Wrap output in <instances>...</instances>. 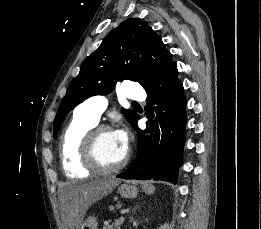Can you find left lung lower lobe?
<instances>
[{
	"mask_svg": "<svg viewBox=\"0 0 261 229\" xmlns=\"http://www.w3.org/2000/svg\"><path fill=\"white\" fill-rule=\"evenodd\" d=\"M145 89L152 97L151 105H157L146 110L147 118H154V109L156 119L149 121L147 129L142 131L137 129L138 115L135 117L132 127L137 130L138 153L134 162L116 177L172 182L182 166L187 122L184 89L178 79L177 65L161 73Z\"/></svg>",
	"mask_w": 261,
	"mask_h": 229,
	"instance_id": "0a47b994",
	"label": "left lung lower lobe"
}]
</instances>
